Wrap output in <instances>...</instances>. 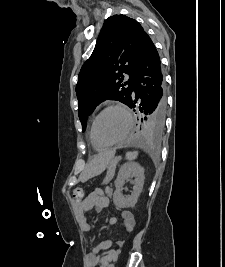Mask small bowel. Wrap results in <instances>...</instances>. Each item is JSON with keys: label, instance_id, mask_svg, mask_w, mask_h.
I'll use <instances>...</instances> for the list:
<instances>
[{"label": "small bowel", "instance_id": "small-bowel-1", "mask_svg": "<svg viewBox=\"0 0 225 267\" xmlns=\"http://www.w3.org/2000/svg\"><path fill=\"white\" fill-rule=\"evenodd\" d=\"M112 189L107 187L105 190L96 189L91 192L83 202H74V210L81 221L84 232H90L91 226L87 222L85 213L91 209L101 211L109 205V200L112 196ZM121 220L117 217L110 218V224L121 226L126 233L133 231L135 226V219L133 214L126 210L120 209ZM122 240L117 241L118 248H112V241L106 240L95 246L87 255V267H107V265L118 258L120 254V247L123 246ZM100 251H106L99 255Z\"/></svg>", "mask_w": 225, "mask_h": 267}]
</instances>
